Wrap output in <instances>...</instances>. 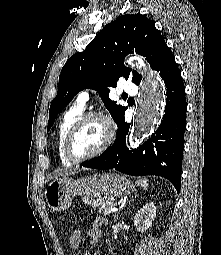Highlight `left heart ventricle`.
<instances>
[{
  "mask_svg": "<svg viewBox=\"0 0 221 255\" xmlns=\"http://www.w3.org/2000/svg\"><path fill=\"white\" fill-rule=\"evenodd\" d=\"M106 130L98 119L89 120L78 132L73 142V152L83 157L96 151L104 142Z\"/></svg>",
  "mask_w": 221,
  "mask_h": 255,
  "instance_id": "b2bd125f",
  "label": "left heart ventricle"
}]
</instances>
